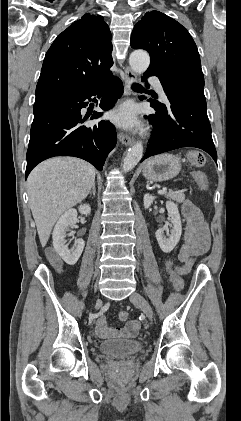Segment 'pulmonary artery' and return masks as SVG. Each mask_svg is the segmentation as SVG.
Here are the masks:
<instances>
[{
	"instance_id": "e3ab8cb5",
	"label": "pulmonary artery",
	"mask_w": 241,
	"mask_h": 421,
	"mask_svg": "<svg viewBox=\"0 0 241 421\" xmlns=\"http://www.w3.org/2000/svg\"><path fill=\"white\" fill-rule=\"evenodd\" d=\"M150 83L153 85V87L157 90V92L160 94V95H162V96H164V89H163V86H162V84H161V82L159 81V79L158 78H155V77H153V78H150Z\"/></svg>"
}]
</instances>
